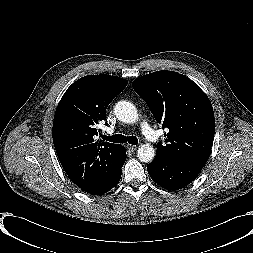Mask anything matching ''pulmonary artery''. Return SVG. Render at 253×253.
I'll return each mask as SVG.
<instances>
[{"label": "pulmonary artery", "instance_id": "e3ab8cb5", "mask_svg": "<svg viewBox=\"0 0 253 253\" xmlns=\"http://www.w3.org/2000/svg\"><path fill=\"white\" fill-rule=\"evenodd\" d=\"M109 131H113L111 128L108 129ZM141 131L143 135L152 143H157L158 141L162 140V137L158 135L147 122L141 123Z\"/></svg>", "mask_w": 253, "mask_h": 253}]
</instances>
